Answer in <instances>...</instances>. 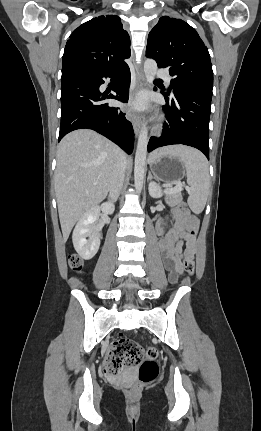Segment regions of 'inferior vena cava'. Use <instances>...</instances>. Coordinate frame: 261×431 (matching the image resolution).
<instances>
[{
    "label": "inferior vena cava",
    "mask_w": 261,
    "mask_h": 431,
    "mask_svg": "<svg viewBox=\"0 0 261 431\" xmlns=\"http://www.w3.org/2000/svg\"><path fill=\"white\" fill-rule=\"evenodd\" d=\"M126 162L125 158L121 156L115 166L114 174L111 180L109 189V199L115 202L121 192L125 178Z\"/></svg>",
    "instance_id": "1"
}]
</instances>
